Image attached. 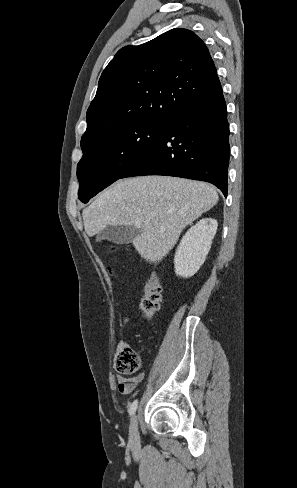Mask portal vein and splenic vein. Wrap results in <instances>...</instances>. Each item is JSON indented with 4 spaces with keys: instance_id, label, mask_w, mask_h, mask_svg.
I'll list each match as a JSON object with an SVG mask.
<instances>
[{
    "instance_id": "obj_1",
    "label": "portal vein and splenic vein",
    "mask_w": 297,
    "mask_h": 488,
    "mask_svg": "<svg viewBox=\"0 0 297 488\" xmlns=\"http://www.w3.org/2000/svg\"><path fill=\"white\" fill-rule=\"evenodd\" d=\"M154 214L153 213H150V216H153Z\"/></svg>"
}]
</instances>
